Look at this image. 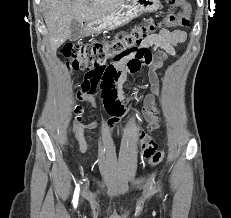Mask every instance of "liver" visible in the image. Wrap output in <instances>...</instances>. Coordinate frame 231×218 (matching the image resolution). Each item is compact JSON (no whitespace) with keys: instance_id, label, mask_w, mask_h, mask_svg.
Returning <instances> with one entry per match:
<instances>
[{"instance_id":"obj_1","label":"liver","mask_w":231,"mask_h":218,"mask_svg":"<svg viewBox=\"0 0 231 218\" xmlns=\"http://www.w3.org/2000/svg\"><path fill=\"white\" fill-rule=\"evenodd\" d=\"M125 0H41L53 54L70 38L73 19L89 22L105 18Z\"/></svg>"}]
</instances>
